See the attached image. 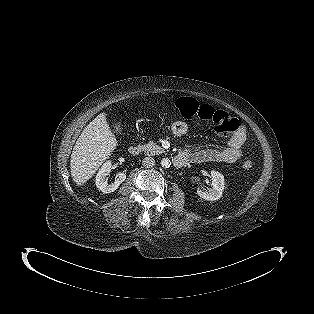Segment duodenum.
Returning a JSON list of instances; mask_svg holds the SVG:
<instances>
[{
    "mask_svg": "<svg viewBox=\"0 0 314 314\" xmlns=\"http://www.w3.org/2000/svg\"><path fill=\"white\" fill-rule=\"evenodd\" d=\"M141 151H142V148H141V146L140 145H132V146H130V148H129V153L131 154V155H138V154H140L141 153ZM186 163H187V159H186V157L185 156H183V155H177L176 157H174V159H173V164L175 165V167H177V168H182V167H184L185 165H186Z\"/></svg>",
    "mask_w": 314,
    "mask_h": 314,
    "instance_id": "410a0bca",
    "label": "duodenum"
}]
</instances>
